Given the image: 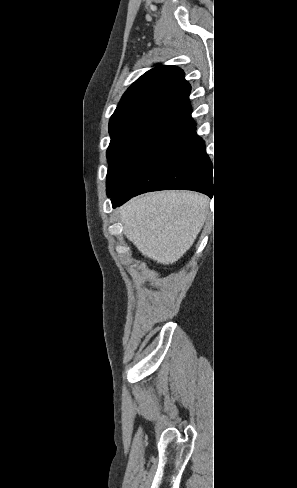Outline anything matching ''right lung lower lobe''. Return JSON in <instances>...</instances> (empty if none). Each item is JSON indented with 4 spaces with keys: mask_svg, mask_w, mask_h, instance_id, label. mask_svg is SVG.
I'll return each instance as SVG.
<instances>
[{
    "mask_svg": "<svg viewBox=\"0 0 297 488\" xmlns=\"http://www.w3.org/2000/svg\"><path fill=\"white\" fill-rule=\"evenodd\" d=\"M184 189L212 197L214 185L211 162L204 141L196 134V124L173 134L154 155L128 191L112 198L113 208L130 198L150 191Z\"/></svg>",
    "mask_w": 297,
    "mask_h": 488,
    "instance_id": "obj_1",
    "label": "right lung lower lobe"
}]
</instances>
